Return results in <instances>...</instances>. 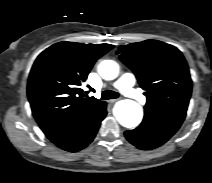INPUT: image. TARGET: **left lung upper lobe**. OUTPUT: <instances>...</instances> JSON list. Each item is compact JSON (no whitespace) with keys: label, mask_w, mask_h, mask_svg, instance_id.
I'll return each instance as SVG.
<instances>
[{"label":"left lung upper lobe","mask_w":212,"mask_h":183,"mask_svg":"<svg viewBox=\"0 0 212 183\" xmlns=\"http://www.w3.org/2000/svg\"><path fill=\"white\" fill-rule=\"evenodd\" d=\"M117 53L134 72L141 88L146 90L145 111L183 121L192 80L182 53L157 40L123 45Z\"/></svg>","instance_id":"1"}]
</instances>
